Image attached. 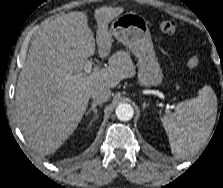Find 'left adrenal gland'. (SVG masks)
Returning a JSON list of instances; mask_svg holds the SVG:
<instances>
[{
    "label": "left adrenal gland",
    "mask_w": 223,
    "mask_h": 188,
    "mask_svg": "<svg viewBox=\"0 0 223 188\" xmlns=\"http://www.w3.org/2000/svg\"><path fill=\"white\" fill-rule=\"evenodd\" d=\"M148 104H146L145 102L143 103V108L147 107Z\"/></svg>",
    "instance_id": "a2214340"
}]
</instances>
